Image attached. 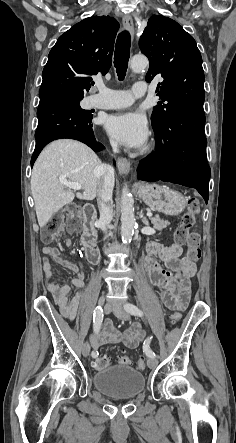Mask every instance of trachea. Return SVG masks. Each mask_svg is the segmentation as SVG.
Returning a JSON list of instances; mask_svg holds the SVG:
<instances>
[{
    "label": "trachea",
    "mask_w": 236,
    "mask_h": 443,
    "mask_svg": "<svg viewBox=\"0 0 236 443\" xmlns=\"http://www.w3.org/2000/svg\"><path fill=\"white\" fill-rule=\"evenodd\" d=\"M130 57V34L123 31L118 35L114 53V66L119 80H124Z\"/></svg>",
    "instance_id": "obj_1"
}]
</instances>
